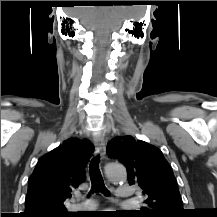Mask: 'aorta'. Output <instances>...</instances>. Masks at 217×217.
Instances as JSON below:
<instances>
[{"mask_svg":"<svg viewBox=\"0 0 217 217\" xmlns=\"http://www.w3.org/2000/svg\"><path fill=\"white\" fill-rule=\"evenodd\" d=\"M107 178L111 182L124 181L126 179V170L124 166L117 163H109L105 167Z\"/></svg>","mask_w":217,"mask_h":217,"instance_id":"aorta-1","label":"aorta"}]
</instances>
